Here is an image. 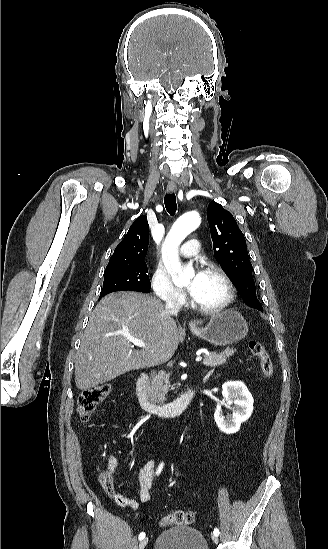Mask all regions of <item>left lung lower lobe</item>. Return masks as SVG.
Masks as SVG:
<instances>
[{
	"instance_id": "obj_1",
	"label": "left lung lower lobe",
	"mask_w": 328,
	"mask_h": 549,
	"mask_svg": "<svg viewBox=\"0 0 328 549\" xmlns=\"http://www.w3.org/2000/svg\"><path fill=\"white\" fill-rule=\"evenodd\" d=\"M250 307L255 308V309L260 310L261 312H263V308H262L260 303L251 305Z\"/></svg>"
}]
</instances>
